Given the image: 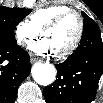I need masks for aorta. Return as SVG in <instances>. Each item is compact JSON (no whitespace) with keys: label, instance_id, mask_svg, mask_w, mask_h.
I'll use <instances>...</instances> for the list:
<instances>
[{"label":"aorta","instance_id":"aorta-1","mask_svg":"<svg viewBox=\"0 0 103 103\" xmlns=\"http://www.w3.org/2000/svg\"><path fill=\"white\" fill-rule=\"evenodd\" d=\"M31 73L35 82L43 86L52 84L56 78L55 67L50 63L34 64Z\"/></svg>","mask_w":103,"mask_h":103}]
</instances>
